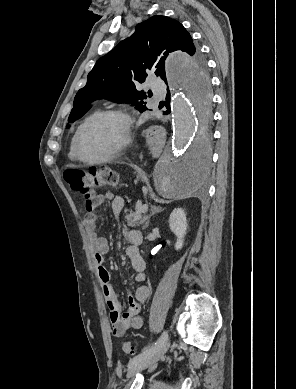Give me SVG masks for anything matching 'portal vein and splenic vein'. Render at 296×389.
I'll return each mask as SVG.
<instances>
[{"instance_id": "portal-vein-and-splenic-vein-1", "label": "portal vein and splenic vein", "mask_w": 296, "mask_h": 389, "mask_svg": "<svg viewBox=\"0 0 296 389\" xmlns=\"http://www.w3.org/2000/svg\"><path fill=\"white\" fill-rule=\"evenodd\" d=\"M138 210H139V212L140 213H145V212H147V210H148V205H142V206H140L139 208H138Z\"/></svg>"}]
</instances>
